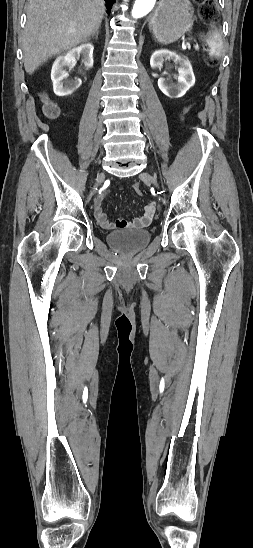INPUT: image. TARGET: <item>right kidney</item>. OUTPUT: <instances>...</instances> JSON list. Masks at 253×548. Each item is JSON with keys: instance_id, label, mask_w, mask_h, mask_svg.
<instances>
[{"instance_id": "ca27d5eb", "label": "right kidney", "mask_w": 253, "mask_h": 548, "mask_svg": "<svg viewBox=\"0 0 253 548\" xmlns=\"http://www.w3.org/2000/svg\"><path fill=\"white\" fill-rule=\"evenodd\" d=\"M93 50L94 46L91 43H84L65 54L57 57L53 63L51 70V80L53 82V90L57 96H68L72 94L81 85L80 79L67 80V72L65 67H74L77 59L81 56L84 65L87 69L93 67Z\"/></svg>"}]
</instances>
